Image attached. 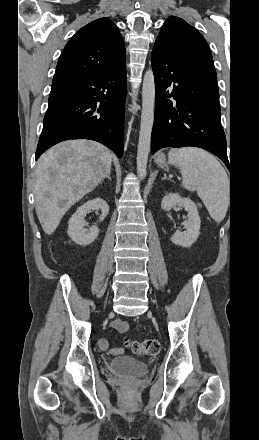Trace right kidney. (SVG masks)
I'll use <instances>...</instances> for the list:
<instances>
[{"label": "right kidney", "instance_id": "1", "mask_svg": "<svg viewBox=\"0 0 259 440\" xmlns=\"http://www.w3.org/2000/svg\"><path fill=\"white\" fill-rule=\"evenodd\" d=\"M91 210H101L99 221H103L109 213V206L103 199L96 198L87 201L76 210L68 222L67 231L68 236L76 244L86 246L91 244L98 237L99 229L96 225H93L90 229L85 228L87 224L84 217Z\"/></svg>", "mask_w": 259, "mask_h": 440}]
</instances>
